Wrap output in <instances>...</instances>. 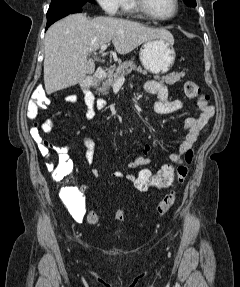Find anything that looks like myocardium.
<instances>
[{
	"mask_svg": "<svg viewBox=\"0 0 240 287\" xmlns=\"http://www.w3.org/2000/svg\"><path fill=\"white\" fill-rule=\"evenodd\" d=\"M135 2H136L137 9L139 10L140 13H142L144 16L148 17L151 20L160 21V22L170 21L174 19L179 13V9H180L179 0H173L174 2L173 12L168 16H157L149 8L147 0H135Z\"/></svg>",
	"mask_w": 240,
	"mask_h": 287,
	"instance_id": "1",
	"label": "myocardium"
}]
</instances>
